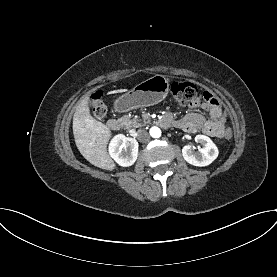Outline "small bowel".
Instances as JSON below:
<instances>
[{
    "instance_id": "small-bowel-1",
    "label": "small bowel",
    "mask_w": 277,
    "mask_h": 277,
    "mask_svg": "<svg viewBox=\"0 0 277 277\" xmlns=\"http://www.w3.org/2000/svg\"><path fill=\"white\" fill-rule=\"evenodd\" d=\"M189 107L192 109L202 108L208 113V116L190 112L178 119H173L170 114H166L162 119V124H172L189 133L202 132L211 137L223 138V131L226 129V113L213 94L204 91L202 101H193Z\"/></svg>"
}]
</instances>
